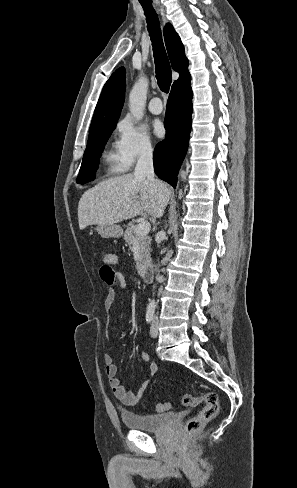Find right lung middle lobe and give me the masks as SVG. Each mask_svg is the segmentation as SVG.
Here are the masks:
<instances>
[{
    "mask_svg": "<svg viewBox=\"0 0 297 488\" xmlns=\"http://www.w3.org/2000/svg\"><path fill=\"white\" fill-rule=\"evenodd\" d=\"M115 125H103L89 132L87 147L76 182L80 184L94 180L99 158L106 140L110 137Z\"/></svg>",
    "mask_w": 297,
    "mask_h": 488,
    "instance_id": "dd1d6c3e",
    "label": "right lung middle lobe"
}]
</instances>
